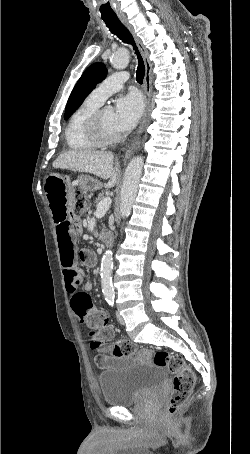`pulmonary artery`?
I'll return each instance as SVG.
<instances>
[{
    "instance_id": "1",
    "label": "pulmonary artery",
    "mask_w": 250,
    "mask_h": 454,
    "mask_svg": "<svg viewBox=\"0 0 250 454\" xmlns=\"http://www.w3.org/2000/svg\"><path fill=\"white\" fill-rule=\"evenodd\" d=\"M128 79L129 75L125 72L115 73L107 77L98 87H96L88 98L102 105L111 94L121 90Z\"/></svg>"
}]
</instances>
